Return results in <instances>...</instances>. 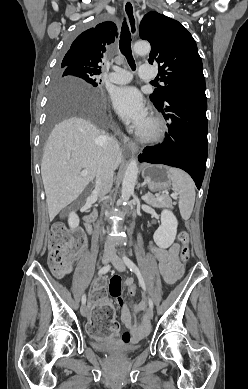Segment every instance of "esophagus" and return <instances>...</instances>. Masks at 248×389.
<instances>
[{
	"instance_id": "34e87169",
	"label": "esophagus",
	"mask_w": 248,
	"mask_h": 389,
	"mask_svg": "<svg viewBox=\"0 0 248 389\" xmlns=\"http://www.w3.org/2000/svg\"><path fill=\"white\" fill-rule=\"evenodd\" d=\"M123 10L127 17L131 33L132 35H135L137 31V25H136L135 8L133 2L131 0H125L123 5ZM127 145L133 154L138 152L139 147L135 142L127 139Z\"/></svg>"
}]
</instances>
